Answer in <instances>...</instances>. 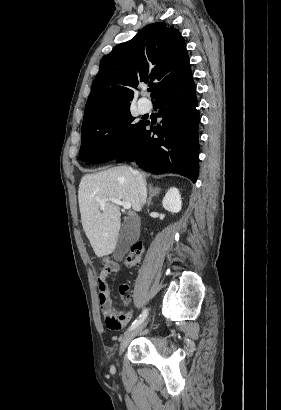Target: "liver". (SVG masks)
I'll return each instance as SVG.
<instances>
[{"mask_svg": "<svg viewBox=\"0 0 281 410\" xmlns=\"http://www.w3.org/2000/svg\"><path fill=\"white\" fill-rule=\"evenodd\" d=\"M139 174L145 182L146 174ZM105 198L130 202L134 211L141 210L138 185L130 168L119 166L86 174L80 181L78 200L81 223L98 257L109 255L115 250L121 227L119 206L111 201L100 206L99 201Z\"/></svg>", "mask_w": 281, "mask_h": 410, "instance_id": "1", "label": "liver"}]
</instances>
